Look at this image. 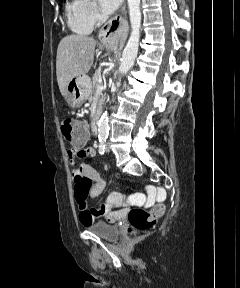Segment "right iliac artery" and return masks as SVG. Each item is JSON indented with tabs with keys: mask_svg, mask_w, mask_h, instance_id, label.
<instances>
[{
	"mask_svg": "<svg viewBox=\"0 0 240 288\" xmlns=\"http://www.w3.org/2000/svg\"><path fill=\"white\" fill-rule=\"evenodd\" d=\"M98 150H99V153H100L101 155H104V154H105L106 149H105V143H104V142H101V143H100Z\"/></svg>",
	"mask_w": 240,
	"mask_h": 288,
	"instance_id": "right-iliac-artery-1",
	"label": "right iliac artery"
}]
</instances>
